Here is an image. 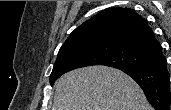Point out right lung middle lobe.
I'll use <instances>...</instances> for the list:
<instances>
[{"instance_id":"obj_1","label":"right lung middle lobe","mask_w":171,"mask_h":110,"mask_svg":"<svg viewBox=\"0 0 171 110\" xmlns=\"http://www.w3.org/2000/svg\"><path fill=\"white\" fill-rule=\"evenodd\" d=\"M155 57L125 46L106 43L86 44L59 51L50 75L51 85L64 73L85 66L106 65L117 69L141 68Z\"/></svg>"}]
</instances>
